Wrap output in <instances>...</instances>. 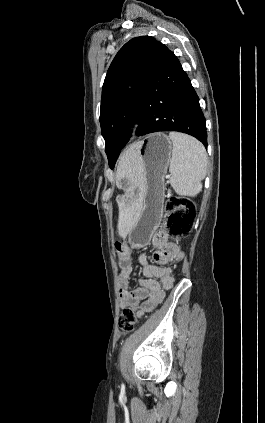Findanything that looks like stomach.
I'll return each mask as SVG.
<instances>
[{"mask_svg":"<svg viewBox=\"0 0 265 423\" xmlns=\"http://www.w3.org/2000/svg\"><path fill=\"white\" fill-rule=\"evenodd\" d=\"M138 143L136 161L142 168V182L138 189L140 213L129 230L128 239L133 248L149 243L163 217L165 184L173 145L164 133L146 136Z\"/></svg>","mask_w":265,"mask_h":423,"instance_id":"1","label":"stomach"}]
</instances>
